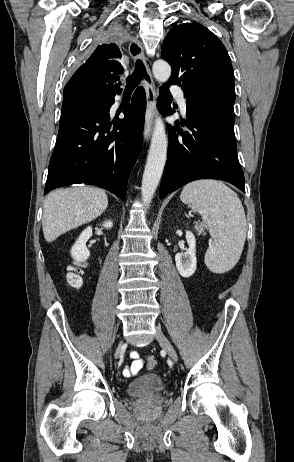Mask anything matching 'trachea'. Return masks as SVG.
Instances as JSON below:
<instances>
[{"instance_id":"3493384b","label":"trachea","mask_w":294,"mask_h":462,"mask_svg":"<svg viewBox=\"0 0 294 462\" xmlns=\"http://www.w3.org/2000/svg\"><path fill=\"white\" fill-rule=\"evenodd\" d=\"M143 76L147 81H150L143 62L137 60L134 72L126 79L125 91H133L139 85Z\"/></svg>"}]
</instances>
